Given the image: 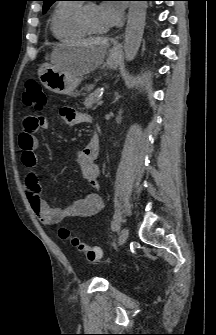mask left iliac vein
I'll return each mask as SVG.
<instances>
[{
  "label": "left iliac vein",
  "instance_id": "obj_1",
  "mask_svg": "<svg viewBox=\"0 0 216 335\" xmlns=\"http://www.w3.org/2000/svg\"><path fill=\"white\" fill-rule=\"evenodd\" d=\"M128 235H129L128 228H123L119 234V240H118L119 245H123L127 241Z\"/></svg>",
  "mask_w": 216,
  "mask_h": 335
}]
</instances>
